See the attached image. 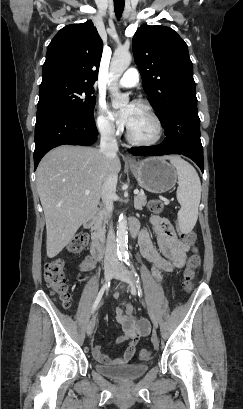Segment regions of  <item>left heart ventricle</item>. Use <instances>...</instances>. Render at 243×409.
I'll use <instances>...</instances> for the list:
<instances>
[{
    "label": "left heart ventricle",
    "mask_w": 243,
    "mask_h": 409,
    "mask_svg": "<svg viewBox=\"0 0 243 409\" xmlns=\"http://www.w3.org/2000/svg\"><path fill=\"white\" fill-rule=\"evenodd\" d=\"M135 137L150 139L155 136V124L149 113L141 106L134 105L131 122L128 126Z\"/></svg>",
    "instance_id": "obj_1"
}]
</instances>
